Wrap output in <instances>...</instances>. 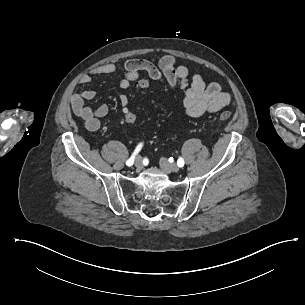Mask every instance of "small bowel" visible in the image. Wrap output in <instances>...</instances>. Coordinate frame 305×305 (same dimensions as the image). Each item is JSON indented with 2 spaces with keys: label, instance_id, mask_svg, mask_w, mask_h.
Segmentation results:
<instances>
[{
  "label": "small bowel",
  "instance_id": "small-bowel-1",
  "mask_svg": "<svg viewBox=\"0 0 305 305\" xmlns=\"http://www.w3.org/2000/svg\"><path fill=\"white\" fill-rule=\"evenodd\" d=\"M176 57L165 55L158 65L145 59H129L124 63L123 75L118 84L121 88L127 89L135 85L140 79V72H146L152 80L164 82L169 87L180 86L185 96L183 107L190 117H200L204 114L215 113L227 106L231 97L224 92L219 83L206 84L202 76L194 74L189 81V69L185 65H176ZM120 70L116 64L108 63L92 67L88 74L83 76L81 83L91 82L92 77L103 74H113ZM96 97L93 90H85L71 96V108L73 113L84 122V127L88 131H97L101 126L100 119L109 113V106L100 105L96 109H91L86 105V101ZM119 103L124 108V115L128 110V97L125 94L119 95Z\"/></svg>",
  "mask_w": 305,
  "mask_h": 305
}]
</instances>
